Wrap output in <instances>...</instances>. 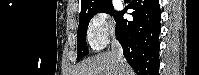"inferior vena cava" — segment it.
<instances>
[{
	"label": "inferior vena cava",
	"mask_w": 199,
	"mask_h": 75,
	"mask_svg": "<svg viewBox=\"0 0 199 75\" xmlns=\"http://www.w3.org/2000/svg\"><path fill=\"white\" fill-rule=\"evenodd\" d=\"M112 51L116 54L118 61H120L121 63L126 62L123 56V49L119 43H116L112 46Z\"/></svg>",
	"instance_id": "obj_1"
}]
</instances>
